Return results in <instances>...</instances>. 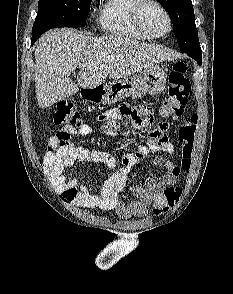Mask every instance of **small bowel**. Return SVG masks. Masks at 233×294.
Instances as JSON below:
<instances>
[{
  "instance_id": "obj_1",
  "label": "small bowel",
  "mask_w": 233,
  "mask_h": 294,
  "mask_svg": "<svg viewBox=\"0 0 233 294\" xmlns=\"http://www.w3.org/2000/svg\"><path fill=\"white\" fill-rule=\"evenodd\" d=\"M121 104L120 108L110 109L98 116L100 123L98 132L109 137H117L122 122H128L129 126L141 128L152 126V132H147L149 137L145 145H139L135 152H128L123 156H114L101 149H85L75 146L69 141L60 145L59 133L77 134L83 137L93 134V128L82 123L80 127H64L55 136L49 138L47 150L44 156V166L48 169L55 182L61 187L65 201L78 207L100 209L102 211L115 210L122 218L142 217L147 215L154 197L169 187H175L180 174V167L163 155L154 158V164L166 168L161 181L152 177L145 179L144 186H135L133 193L135 199L130 202L121 200L120 195L124 189L131 168L146 158L151 153L160 151L172 152L173 146L166 132L168 123H155L157 108L151 103ZM76 162L82 164H103L110 169H115L113 174L105 181L98 192L92 193L84 185H78L77 181L64 175V170L73 166Z\"/></svg>"
}]
</instances>
